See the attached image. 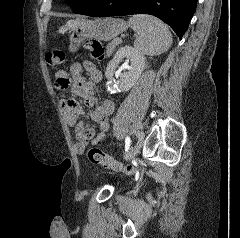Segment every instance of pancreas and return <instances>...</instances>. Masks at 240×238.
Wrapping results in <instances>:
<instances>
[{
	"label": "pancreas",
	"instance_id": "1",
	"mask_svg": "<svg viewBox=\"0 0 240 238\" xmlns=\"http://www.w3.org/2000/svg\"><path fill=\"white\" fill-rule=\"evenodd\" d=\"M119 44L120 42L118 39H113L110 43H108L106 47V57H109L113 53L114 48Z\"/></svg>",
	"mask_w": 240,
	"mask_h": 238
}]
</instances>
